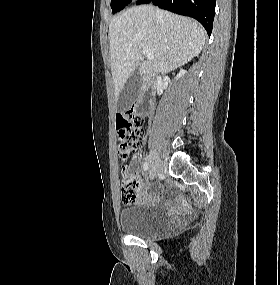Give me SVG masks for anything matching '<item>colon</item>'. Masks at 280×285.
Here are the masks:
<instances>
[{
	"label": "colon",
	"instance_id": "1",
	"mask_svg": "<svg viewBox=\"0 0 280 285\" xmlns=\"http://www.w3.org/2000/svg\"><path fill=\"white\" fill-rule=\"evenodd\" d=\"M144 135L142 117L132 108L117 115L118 148L122 157L135 155L140 148ZM123 202L131 204L136 200L137 182L132 176L123 178L121 189Z\"/></svg>",
	"mask_w": 280,
	"mask_h": 285
}]
</instances>
